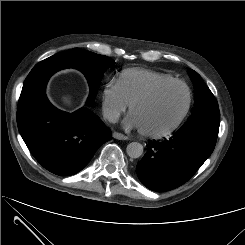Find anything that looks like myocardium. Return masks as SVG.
Returning <instances> with one entry per match:
<instances>
[{"label": "myocardium", "instance_id": "myocardium-1", "mask_svg": "<svg viewBox=\"0 0 245 245\" xmlns=\"http://www.w3.org/2000/svg\"><path fill=\"white\" fill-rule=\"evenodd\" d=\"M171 85H181L186 89L187 103H186V107H185L184 111L182 112L180 117L177 119V121L171 127L167 128L163 131L148 132V131H144V130L140 129V133L143 136H145L147 138H151V139H161V138L168 137V136L172 135L182 125V123L186 119L187 115L189 114L191 106H192V100H193L192 91H191L190 87L185 82L178 80V79H172V80H168V81L159 83V84L153 86L151 89H149L145 93H143L142 95L133 99L129 105V112L132 113V111L136 105L150 100L159 91H161L162 89H164L168 86H171Z\"/></svg>", "mask_w": 245, "mask_h": 245}]
</instances>
